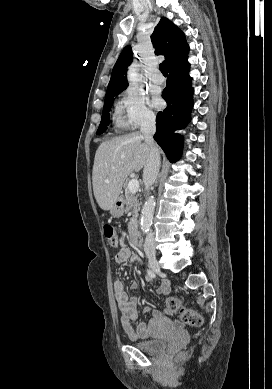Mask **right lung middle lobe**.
<instances>
[{"label": "right lung middle lobe", "instance_id": "obj_1", "mask_svg": "<svg viewBox=\"0 0 272 389\" xmlns=\"http://www.w3.org/2000/svg\"><path fill=\"white\" fill-rule=\"evenodd\" d=\"M120 92L112 93L105 97L104 107H103V113H102V119L100 126L97 131V135L103 133L106 130L107 125L110 122L109 119V111L113 104V98L118 95Z\"/></svg>", "mask_w": 272, "mask_h": 389}]
</instances>
